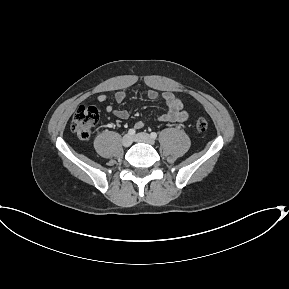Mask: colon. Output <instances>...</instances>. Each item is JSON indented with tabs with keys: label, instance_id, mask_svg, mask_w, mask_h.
Wrapping results in <instances>:
<instances>
[{
	"label": "colon",
	"instance_id": "obj_1",
	"mask_svg": "<svg viewBox=\"0 0 289 289\" xmlns=\"http://www.w3.org/2000/svg\"><path fill=\"white\" fill-rule=\"evenodd\" d=\"M98 118L99 112L95 105H82L74 114L70 128L78 138L82 140L88 139L93 127L98 122ZM195 127L199 132H205L208 128V122L205 118H199L195 123Z\"/></svg>",
	"mask_w": 289,
	"mask_h": 289
}]
</instances>
